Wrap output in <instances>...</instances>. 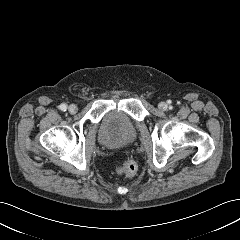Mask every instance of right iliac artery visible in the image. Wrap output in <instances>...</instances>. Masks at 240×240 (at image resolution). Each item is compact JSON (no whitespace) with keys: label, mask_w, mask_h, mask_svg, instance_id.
<instances>
[{"label":"right iliac artery","mask_w":240,"mask_h":240,"mask_svg":"<svg viewBox=\"0 0 240 240\" xmlns=\"http://www.w3.org/2000/svg\"><path fill=\"white\" fill-rule=\"evenodd\" d=\"M60 109H61L62 111H66V110H67V105H66V104H61V105H60Z\"/></svg>","instance_id":"1"}]
</instances>
